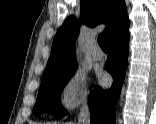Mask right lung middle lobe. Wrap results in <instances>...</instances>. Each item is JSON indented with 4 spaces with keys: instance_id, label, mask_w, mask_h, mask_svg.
<instances>
[{
    "instance_id": "right-lung-middle-lobe-1",
    "label": "right lung middle lobe",
    "mask_w": 156,
    "mask_h": 124,
    "mask_svg": "<svg viewBox=\"0 0 156 124\" xmlns=\"http://www.w3.org/2000/svg\"><path fill=\"white\" fill-rule=\"evenodd\" d=\"M76 68L74 67L57 75L42 78L37 101L33 108V112L36 115L39 116L44 112H49L62 117L67 113L61 105L60 96L64 86L75 73Z\"/></svg>"
}]
</instances>
